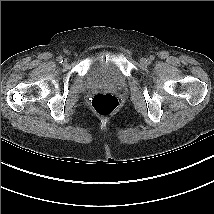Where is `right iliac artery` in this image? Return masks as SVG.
I'll list each match as a JSON object with an SVG mask.
<instances>
[{
	"instance_id": "1",
	"label": "right iliac artery",
	"mask_w": 214,
	"mask_h": 214,
	"mask_svg": "<svg viewBox=\"0 0 214 214\" xmlns=\"http://www.w3.org/2000/svg\"><path fill=\"white\" fill-rule=\"evenodd\" d=\"M57 61H58L59 63H62V62H63V57H62V56H59L58 59H57Z\"/></svg>"
}]
</instances>
